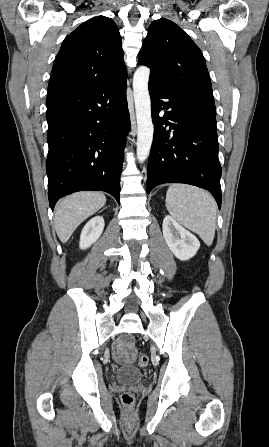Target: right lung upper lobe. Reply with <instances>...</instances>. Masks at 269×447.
Segmentation results:
<instances>
[{
  "mask_svg": "<svg viewBox=\"0 0 269 447\" xmlns=\"http://www.w3.org/2000/svg\"><path fill=\"white\" fill-rule=\"evenodd\" d=\"M123 55L114 21L94 17L64 39L53 64L48 92L98 86L125 75Z\"/></svg>",
  "mask_w": 269,
  "mask_h": 447,
  "instance_id": "1",
  "label": "right lung upper lobe"
}]
</instances>
